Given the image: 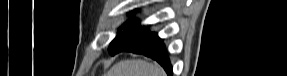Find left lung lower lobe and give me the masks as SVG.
Returning a JSON list of instances; mask_svg holds the SVG:
<instances>
[{"mask_svg":"<svg viewBox=\"0 0 287 76\" xmlns=\"http://www.w3.org/2000/svg\"><path fill=\"white\" fill-rule=\"evenodd\" d=\"M121 51H130L151 57L165 69L169 76L173 73L162 40L155 33H149L143 39L121 48L116 53Z\"/></svg>","mask_w":287,"mask_h":76,"instance_id":"1","label":"left lung lower lobe"}]
</instances>
